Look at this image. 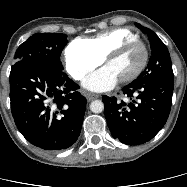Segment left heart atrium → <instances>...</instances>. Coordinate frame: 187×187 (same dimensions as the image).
I'll return each instance as SVG.
<instances>
[{
  "label": "left heart atrium",
  "instance_id": "left-heart-atrium-1",
  "mask_svg": "<svg viewBox=\"0 0 187 187\" xmlns=\"http://www.w3.org/2000/svg\"><path fill=\"white\" fill-rule=\"evenodd\" d=\"M119 78L106 65L89 75L83 82V86L91 91L101 92L111 89Z\"/></svg>",
  "mask_w": 187,
  "mask_h": 187
}]
</instances>
